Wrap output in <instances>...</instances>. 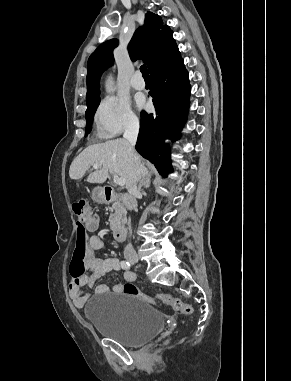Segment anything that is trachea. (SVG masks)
I'll use <instances>...</instances> for the list:
<instances>
[{
  "instance_id": "obj_1",
  "label": "trachea",
  "mask_w": 291,
  "mask_h": 381,
  "mask_svg": "<svg viewBox=\"0 0 291 381\" xmlns=\"http://www.w3.org/2000/svg\"><path fill=\"white\" fill-rule=\"evenodd\" d=\"M140 71H141V73H142V75H143L144 78H149V72H148V70H147L146 65H142V66L140 67Z\"/></svg>"
}]
</instances>
